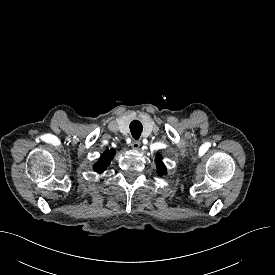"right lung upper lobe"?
Returning <instances> with one entry per match:
<instances>
[{"instance_id":"1","label":"right lung upper lobe","mask_w":275,"mask_h":275,"mask_svg":"<svg viewBox=\"0 0 275 275\" xmlns=\"http://www.w3.org/2000/svg\"><path fill=\"white\" fill-rule=\"evenodd\" d=\"M114 155H115L114 149L107 150L106 152H104L101 155L99 161L94 165V170L98 173H101L104 170H106V167L109 165Z\"/></svg>"}]
</instances>
